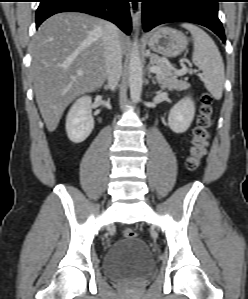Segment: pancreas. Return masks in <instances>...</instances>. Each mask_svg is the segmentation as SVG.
Segmentation results:
<instances>
[{
    "label": "pancreas",
    "instance_id": "1",
    "mask_svg": "<svg viewBox=\"0 0 248 299\" xmlns=\"http://www.w3.org/2000/svg\"><path fill=\"white\" fill-rule=\"evenodd\" d=\"M151 63L161 69V73H156V79L162 87L169 90H184L189 87L186 81L178 80L177 77L172 76L171 69L165 59L158 55H151Z\"/></svg>",
    "mask_w": 248,
    "mask_h": 299
}]
</instances>
